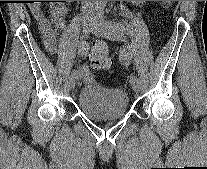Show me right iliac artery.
Instances as JSON below:
<instances>
[{"label":"right iliac artery","instance_id":"obj_1","mask_svg":"<svg viewBox=\"0 0 207 169\" xmlns=\"http://www.w3.org/2000/svg\"><path fill=\"white\" fill-rule=\"evenodd\" d=\"M78 48H79V52L82 54V55H85L87 54L88 52V43L87 41L85 40V37L83 36L79 42V45H78ZM71 76L75 77V78H80L79 74L77 71H72L71 73Z\"/></svg>","mask_w":207,"mask_h":169}]
</instances>
